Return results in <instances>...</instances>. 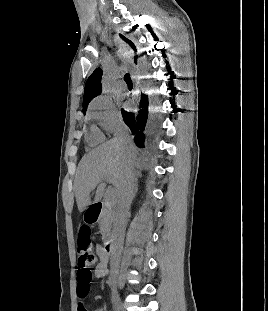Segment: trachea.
<instances>
[{"label": "trachea", "mask_w": 268, "mask_h": 311, "mask_svg": "<svg viewBox=\"0 0 268 311\" xmlns=\"http://www.w3.org/2000/svg\"><path fill=\"white\" fill-rule=\"evenodd\" d=\"M124 80H125L126 83H132V80L130 78V74L129 73H126L124 75Z\"/></svg>", "instance_id": "3493384b"}]
</instances>
